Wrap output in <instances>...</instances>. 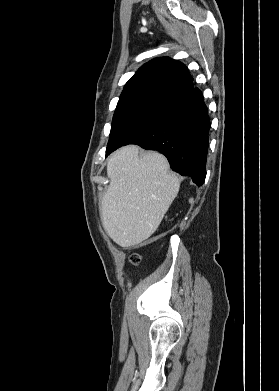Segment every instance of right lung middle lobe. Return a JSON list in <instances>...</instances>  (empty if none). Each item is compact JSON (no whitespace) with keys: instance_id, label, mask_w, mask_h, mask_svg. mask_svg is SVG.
<instances>
[{"instance_id":"right-lung-middle-lobe-1","label":"right lung middle lobe","mask_w":279,"mask_h":391,"mask_svg":"<svg viewBox=\"0 0 279 391\" xmlns=\"http://www.w3.org/2000/svg\"><path fill=\"white\" fill-rule=\"evenodd\" d=\"M162 107L136 106L115 111L106 156L144 130Z\"/></svg>"}]
</instances>
